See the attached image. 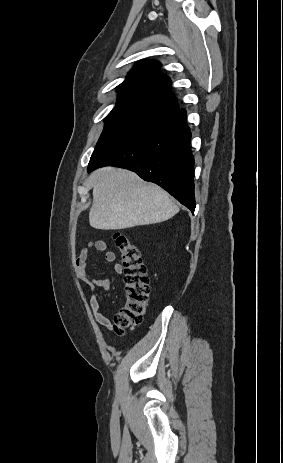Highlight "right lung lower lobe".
Listing matches in <instances>:
<instances>
[{
	"label": "right lung lower lobe",
	"instance_id": "98d812e1",
	"mask_svg": "<svg viewBox=\"0 0 283 463\" xmlns=\"http://www.w3.org/2000/svg\"><path fill=\"white\" fill-rule=\"evenodd\" d=\"M185 109L176 108L92 155L88 172L106 165L136 172L158 184L194 213V158Z\"/></svg>",
	"mask_w": 283,
	"mask_h": 463
}]
</instances>
